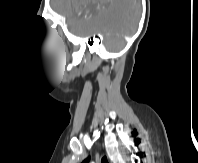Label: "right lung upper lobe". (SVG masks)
Wrapping results in <instances>:
<instances>
[{"mask_svg":"<svg viewBox=\"0 0 198 163\" xmlns=\"http://www.w3.org/2000/svg\"><path fill=\"white\" fill-rule=\"evenodd\" d=\"M90 160V157H88L86 160H84L82 163H88Z\"/></svg>","mask_w":198,"mask_h":163,"instance_id":"1","label":"right lung upper lobe"}]
</instances>
